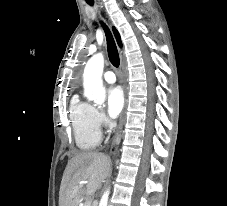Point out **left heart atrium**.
Listing matches in <instances>:
<instances>
[{"label":"left heart atrium","mask_w":227,"mask_h":206,"mask_svg":"<svg viewBox=\"0 0 227 206\" xmlns=\"http://www.w3.org/2000/svg\"><path fill=\"white\" fill-rule=\"evenodd\" d=\"M124 106V96L120 87H112L107 91V111L111 118H116Z\"/></svg>","instance_id":"1"}]
</instances>
